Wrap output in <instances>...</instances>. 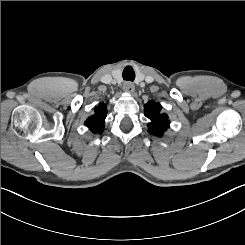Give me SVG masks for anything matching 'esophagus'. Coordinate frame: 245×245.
<instances>
[{
	"mask_svg": "<svg viewBox=\"0 0 245 245\" xmlns=\"http://www.w3.org/2000/svg\"><path fill=\"white\" fill-rule=\"evenodd\" d=\"M123 89L125 92L129 93V94H133L134 93V84L131 82H125Z\"/></svg>",
	"mask_w": 245,
	"mask_h": 245,
	"instance_id": "esophagus-1",
	"label": "esophagus"
}]
</instances>
